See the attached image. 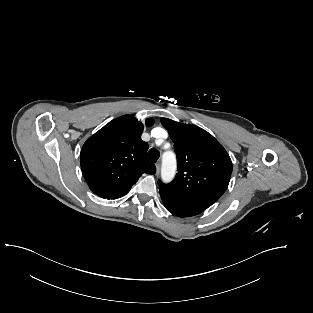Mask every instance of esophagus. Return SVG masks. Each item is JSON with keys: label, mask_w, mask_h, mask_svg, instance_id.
<instances>
[{"label": "esophagus", "mask_w": 313, "mask_h": 313, "mask_svg": "<svg viewBox=\"0 0 313 313\" xmlns=\"http://www.w3.org/2000/svg\"><path fill=\"white\" fill-rule=\"evenodd\" d=\"M156 175H158L159 174V172H160V163L158 162V163H156Z\"/></svg>", "instance_id": "esophagus-1"}]
</instances>
